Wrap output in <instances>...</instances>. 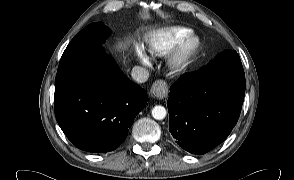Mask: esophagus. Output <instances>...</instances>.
Masks as SVG:
<instances>
[{
	"instance_id": "obj_1",
	"label": "esophagus",
	"mask_w": 294,
	"mask_h": 180,
	"mask_svg": "<svg viewBox=\"0 0 294 180\" xmlns=\"http://www.w3.org/2000/svg\"><path fill=\"white\" fill-rule=\"evenodd\" d=\"M169 92L168 85L164 80H157L151 87L150 94L153 98L164 99Z\"/></svg>"
}]
</instances>
